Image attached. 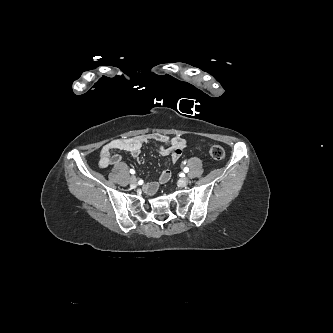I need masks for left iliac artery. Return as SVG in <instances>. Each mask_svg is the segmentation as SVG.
Segmentation results:
<instances>
[{
    "label": "left iliac artery",
    "instance_id": "obj_1",
    "mask_svg": "<svg viewBox=\"0 0 333 333\" xmlns=\"http://www.w3.org/2000/svg\"><path fill=\"white\" fill-rule=\"evenodd\" d=\"M189 171V168L188 167H185L184 168V172L187 173Z\"/></svg>",
    "mask_w": 333,
    "mask_h": 333
}]
</instances>
